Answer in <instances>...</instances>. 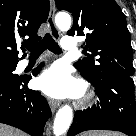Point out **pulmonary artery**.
Segmentation results:
<instances>
[{
    "instance_id": "pulmonary-artery-1",
    "label": "pulmonary artery",
    "mask_w": 136,
    "mask_h": 136,
    "mask_svg": "<svg viewBox=\"0 0 136 136\" xmlns=\"http://www.w3.org/2000/svg\"><path fill=\"white\" fill-rule=\"evenodd\" d=\"M61 46L66 51H72L77 48V42L74 38L67 36L62 39ZM28 64L29 61L26 59L20 62L21 67H26Z\"/></svg>"
}]
</instances>
